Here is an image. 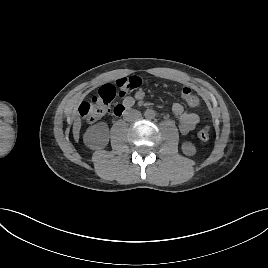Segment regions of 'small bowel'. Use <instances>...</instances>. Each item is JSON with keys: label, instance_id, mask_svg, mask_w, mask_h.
<instances>
[{"label": "small bowel", "instance_id": "obj_1", "mask_svg": "<svg viewBox=\"0 0 268 268\" xmlns=\"http://www.w3.org/2000/svg\"><path fill=\"white\" fill-rule=\"evenodd\" d=\"M145 92L143 90H138L133 96H126L123 99V105L126 107H131L135 101L144 99ZM172 114L176 118L178 123L179 131L183 135L190 134L193 132L200 122V118L195 113L187 112L184 106L180 103H175L172 106Z\"/></svg>", "mask_w": 268, "mask_h": 268}]
</instances>
